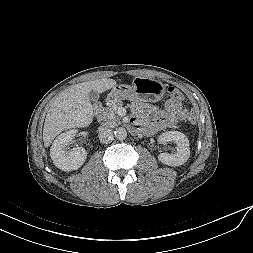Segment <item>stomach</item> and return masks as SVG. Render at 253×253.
<instances>
[{
  "label": "stomach",
  "mask_w": 253,
  "mask_h": 253,
  "mask_svg": "<svg viewBox=\"0 0 253 253\" xmlns=\"http://www.w3.org/2000/svg\"><path fill=\"white\" fill-rule=\"evenodd\" d=\"M165 85L152 78L136 77L132 85H116L107 96L109 104L122 100L157 102L165 95Z\"/></svg>",
  "instance_id": "stomach-1"
}]
</instances>
